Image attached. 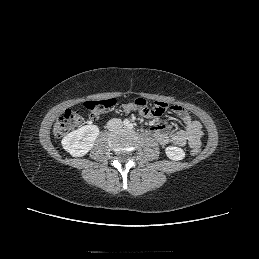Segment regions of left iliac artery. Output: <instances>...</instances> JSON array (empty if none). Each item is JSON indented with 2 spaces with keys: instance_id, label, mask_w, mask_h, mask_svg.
<instances>
[{
  "instance_id": "1",
  "label": "left iliac artery",
  "mask_w": 259,
  "mask_h": 259,
  "mask_svg": "<svg viewBox=\"0 0 259 259\" xmlns=\"http://www.w3.org/2000/svg\"><path fill=\"white\" fill-rule=\"evenodd\" d=\"M128 127H129V129H132L133 128V124H129Z\"/></svg>"
}]
</instances>
